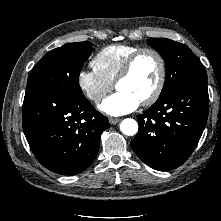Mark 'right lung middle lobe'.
<instances>
[{"instance_id":"obj_1","label":"right lung middle lobe","mask_w":221,"mask_h":221,"mask_svg":"<svg viewBox=\"0 0 221 221\" xmlns=\"http://www.w3.org/2000/svg\"><path fill=\"white\" fill-rule=\"evenodd\" d=\"M92 46V43L85 41L53 49L37 63L28 78L27 88L37 87L83 96L79 74L93 50Z\"/></svg>"}]
</instances>
